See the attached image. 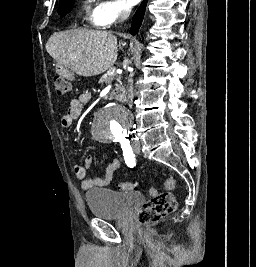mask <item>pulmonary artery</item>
<instances>
[{
	"label": "pulmonary artery",
	"instance_id": "e3ab8cb5",
	"mask_svg": "<svg viewBox=\"0 0 256 267\" xmlns=\"http://www.w3.org/2000/svg\"><path fill=\"white\" fill-rule=\"evenodd\" d=\"M108 56H115L114 54L108 55Z\"/></svg>",
	"mask_w": 256,
	"mask_h": 267
}]
</instances>
